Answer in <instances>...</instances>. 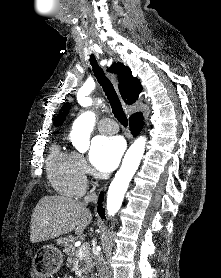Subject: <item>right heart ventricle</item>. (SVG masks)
<instances>
[{"mask_svg": "<svg viewBox=\"0 0 221 278\" xmlns=\"http://www.w3.org/2000/svg\"><path fill=\"white\" fill-rule=\"evenodd\" d=\"M47 172L52 186L61 195L78 198L84 194L85 177L78 170L73 152L54 145L48 156Z\"/></svg>", "mask_w": 221, "mask_h": 278, "instance_id": "e07e8e85", "label": "right heart ventricle"}]
</instances>
